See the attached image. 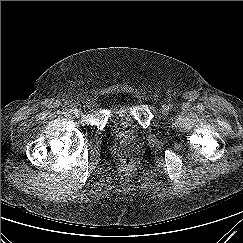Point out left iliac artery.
I'll list each match as a JSON object with an SVG mask.
<instances>
[{
    "label": "left iliac artery",
    "instance_id": "1",
    "mask_svg": "<svg viewBox=\"0 0 243 243\" xmlns=\"http://www.w3.org/2000/svg\"><path fill=\"white\" fill-rule=\"evenodd\" d=\"M172 108H173V104L169 103V104H168V109L171 110Z\"/></svg>",
    "mask_w": 243,
    "mask_h": 243
}]
</instances>
